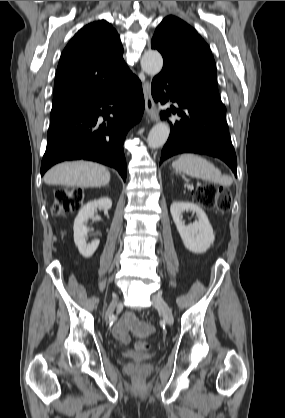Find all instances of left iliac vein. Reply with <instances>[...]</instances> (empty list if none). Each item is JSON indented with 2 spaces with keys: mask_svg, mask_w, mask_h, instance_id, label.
Returning a JSON list of instances; mask_svg holds the SVG:
<instances>
[{
  "mask_svg": "<svg viewBox=\"0 0 285 418\" xmlns=\"http://www.w3.org/2000/svg\"><path fill=\"white\" fill-rule=\"evenodd\" d=\"M152 300L154 307L162 314L164 321L171 323L173 314L166 301L159 294L154 295Z\"/></svg>",
  "mask_w": 285,
  "mask_h": 418,
  "instance_id": "obj_1",
  "label": "left iliac vein"
}]
</instances>
